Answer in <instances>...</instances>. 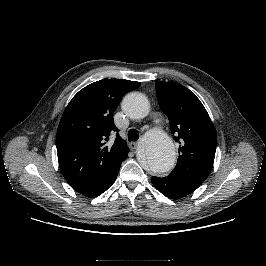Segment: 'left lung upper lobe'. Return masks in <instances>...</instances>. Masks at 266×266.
Wrapping results in <instances>:
<instances>
[{
    "mask_svg": "<svg viewBox=\"0 0 266 266\" xmlns=\"http://www.w3.org/2000/svg\"><path fill=\"white\" fill-rule=\"evenodd\" d=\"M158 103L167 115L173 138L180 144L170 175L201 185L213 167L217 134L203 104L186 87L156 82Z\"/></svg>",
    "mask_w": 266,
    "mask_h": 266,
    "instance_id": "1",
    "label": "left lung upper lobe"
}]
</instances>
